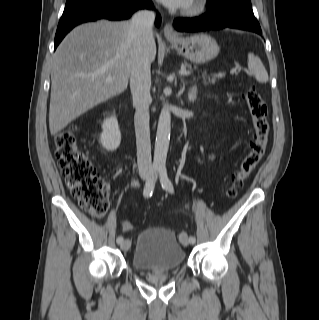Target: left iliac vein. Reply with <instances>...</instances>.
<instances>
[{"label": "left iliac vein", "instance_id": "left-iliac-vein-1", "mask_svg": "<svg viewBox=\"0 0 319 320\" xmlns=\"http://www.w3.org/2000/svg\"><path fill=\"white\" fill-rule=\"evenodd\" d=\"M180 241L184 246H188L189 245V241H188V236L185 232H183V234L180 236Z\"/></svg>", "mask_w": 319, "mask_h": 320}]
</instances>
